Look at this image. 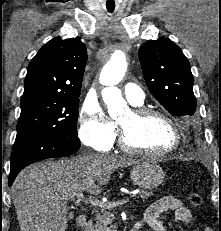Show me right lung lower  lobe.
<instances>
[{
	"instance_id": "obj_1",
	"label": "right lung lower lobe",
	"mask_w": 221,
	"mask_h": 231,
	"mask_svg": "<svg viewBox=\"0 0 221 231\" xmlns=\"http://www.w3.org/2000/svg\"><path fill=\"white\" fill-rule=\"evenodd\" d=\"M80 148L78 138L64 135H42L33 137L12 148L9 186L18 173L27 165L48 158L69 156Z\"/></svg>"
}]
</instances>
